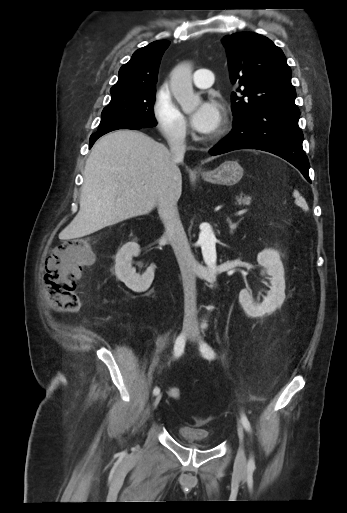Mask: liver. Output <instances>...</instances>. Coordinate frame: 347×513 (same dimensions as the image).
<instances>
[{"label": "liver", "instance_id": "6515ba94", "mask_svg": "<svg viewBox=\"0 0 347 513\" xmlns=\"http://www.w3.org/2000/svg\"><path fill=\"white\" fill-rule=\"evenodd\" d=\"M168 184L180 197L182 175L163 144L140 131L110 132L95 143L86 160L79 212L60 237L80 238L146 215Z\"/></svg>", "mask_w": 347, "mask_h": 513}]
</instances>
